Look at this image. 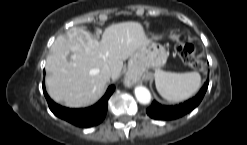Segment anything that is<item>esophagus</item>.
Returning a JSON list of instances; mask_svg holds the SVG:
<instances>
[{
  "label": "esophagus",
  "instance_id": "34e87169",
  "mask_svg": "<svg viewBox=\"0 0 247 145\" xmlns=\"http://www.w3.org/2000/svg\"><path fill=\"white\" fill-rule=\"evenodd\" d=\"M124 83L126 86L130 87L134 84V80L131 79L130 77H126Z\"/></svg>",
  "mask_w": 247,
  "mask_h": 145
}]
</instances>
